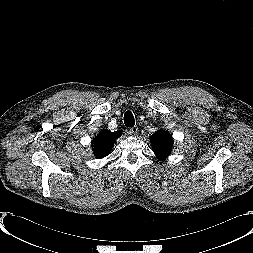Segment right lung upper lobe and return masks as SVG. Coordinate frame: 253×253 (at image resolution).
Listing matches in <instances>:
<instances>
[{
    "instance_id": "right-lung-upper-lobe-1",
    "label": "right lung upper lobe",
    "mask_w": 253,
    "mask_h": 253,
    "mask_svg": "<svg viewBox=\"0 0 253 253\" xmlns=\"http://www.w3.org/2000/svg\"><path fill=\"white\" fill-rule=\"evenodd\" d=\"M121 136V132H111L109 130H103L100 132L98 136H96L93 140L92 143V149L94 155L98 158L101 159L105 156H107L116 139Z\"/></svg>"
}]
</instances>
